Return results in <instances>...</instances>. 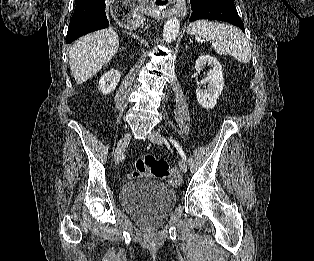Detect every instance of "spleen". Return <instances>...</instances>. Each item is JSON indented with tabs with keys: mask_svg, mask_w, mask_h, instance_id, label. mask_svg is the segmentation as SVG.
Returning a JSON list of instances; mask_svg holds the SVG:
<instances>
[{
	"mask_svg": "<svg viewBox=\"0 0 314 261\" xmlns=\"http://www.w3.org/2000/svg\"><path fill=\"white\" fill-rule=\"evenodd\" d=\"M187 33L212 41L220 55H230L241 63H248L251 59V48L245 35L231 25L198 20L188 26Z\"/></svg>",
	"mask_w": 314,
	"mask_h": 261,
	"instance_id": "3e777b00",
	"label": "spleen"
}]
</instances>
